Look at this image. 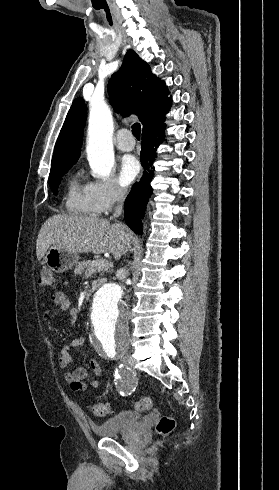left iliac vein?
<instances>
[{"label": "left iliac vein", "mask_w": 279, "mask_h": 490, "mask_svg": "<svg viewBox=\"0 0 279 490\" xmlns=\"http://www.w3.org/2000/svg\"><path fill=\"white\" fill-rule=\"evenodd\" d=\"M116 359H117V360H120V359H121V356H120V355H117V356H116Z\"/></svg>", "instance_id": "1"}]
</instances>
